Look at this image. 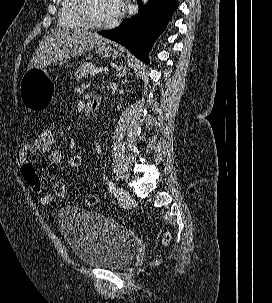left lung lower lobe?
Segmentation results:
<instances>
[{"mask_svg": "<svg viewBox=\"0 0 272 303\" xmlns=\"http://www.w3.org/2000/svg\"><path fill=\"white\" fill-rule=\"evenodd\" d=\"M140 5L138 14L126 18L117 28L99 32L125 46L137 58L148 62V54L156 38L165 30L172 14L178 8V0H149Z\"/></svg>", "mask_w": 272, "mask_h": 303, "instance_id": "left-lung-lower-lobe-1", "label": "left lung lower lobe"}]
</instances>
